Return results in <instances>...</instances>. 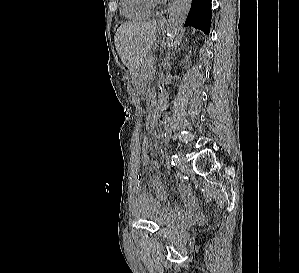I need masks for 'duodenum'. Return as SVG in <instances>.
Here are the masks:
<instances>
[{
  "label": "duodenum",
  "instance_id": "1",
  "mask_svg": "<svg viewBox=\"0 0 299 273\" xmlns=\"http://www.w3.org/2000/svg\"><path fill=\"white\" fill-rule=\"evenodd\" d=\"M165 106V101L164 100H160L158 101V103L155 105L154 107V110L157 111V110H161L163 109Z\"/></svg>",
  "mask_w": 299,
  "mask_h": 273
}]
</instances>
